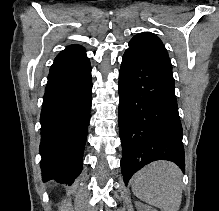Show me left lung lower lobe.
<instances>
[{
	"label": "left lung lower lobe",
	"mask_w": 219,
	"mask_h": 211,
	"mask_svg": "<svg viewBox=\"0 0 219 211\" xmlns=\"http://www.w3.org/2000/svg\"><path fill=\"white\" fill-rule=\"evenodd\" d=\"M172 72L126 50L119 72L121 168L132 175L156 160H169L184 172L183 131Z\"/></svg>",
	"instance_id": "left-lung-lower-lobe-1"
}]
</instances>
